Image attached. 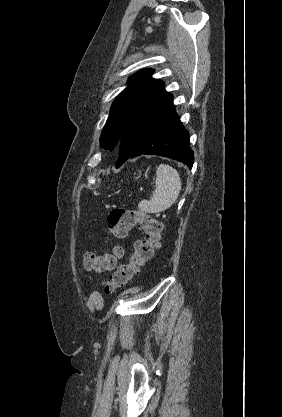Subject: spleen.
Returning <instances> with one entry per match:
<instances>
[{"label": "spleen", "mask_w": 282, "mask_h": 417, "mask_svg": "<svg viewBox=\"0 0 282 417\" xmlns=\"http://www.w3.org/2000/svg\"><path fill=\"white\" fill-rule=\"evenodd\" d=\"M182 182L176 168L170 164H159L156 170L155 192L150 200H141L138 206L144 213H163L176 202Z\"/></svg>", "instance_id": "obj_1"}]
</instances>
